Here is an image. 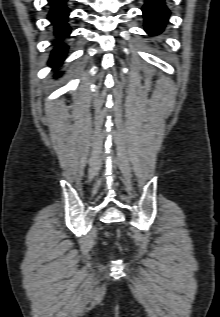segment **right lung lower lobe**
<instances>
[{
	"label": "right lung lower lobe",
	"mask_w": 220,
	"mask_h": 317,
	"mask_svg": "<svg viewBox=\"0 0 220 317\" xmlns=\"http://www.w3.org/2000/svg\"><path fill=\"white\" fill-rule=\"evenodd\" d=\"M52 5V9L49 13V20L55 25V33L58 37L68 36L70 28L64 21L68 17L70 10L65 7L67 0H49ZM66 56V48L58 44L56 49L52 52L51 60L49 64L53 67H57Z\"/></svg>",
	"instance_id": "98d812e1"
}]
</instances>
